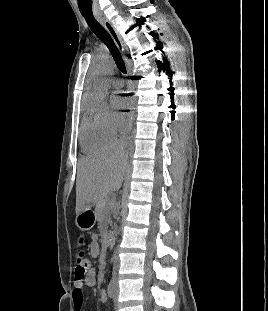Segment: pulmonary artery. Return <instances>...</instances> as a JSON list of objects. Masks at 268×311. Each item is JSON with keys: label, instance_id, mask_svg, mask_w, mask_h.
Instances as JSON below:
<instances>
[{"label": "pulmonary artery", "instance_id": "pulmonary-artery-1", "mask_svg": "<svg viewBox=\"0 0 268 311\" xmlns=\"http://www.w3.org/2000/svg\"><path fill=\"white\" fill-rule=\"evenodd\" d=\"M111 84L114 88L119 89L123 86V81L121 79H113Z\"/></svg>", "mask_w": 268, "mask_h": 311}]
</instances>
